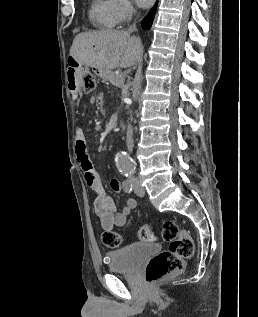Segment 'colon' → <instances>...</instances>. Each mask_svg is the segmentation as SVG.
I'll use <instances>...</instances> for the list:
<instances>
[{
  "label": "colon",
  "instance_id": "5ec220e1",
  "mask_svg": "<svg viewBox=\"0 0 258 317\" xmlns=\"http://www.w3.org/2000/svg\"><path fill=\"white\" fill-rule=\"evenodd\" d=\"M82 90L89 93L95 89L96 80L94 75L85 69L81 70ZM139 238L144 241L156 239V228L151 224L139 227ZM161 236L169 243L168 250L153 256L145 266V278L150 284L156 283L164 277L180 272L184 269L186 260L194 253V241L191 235L179 228L173 221H166L162 225ZM102 243L111 249L118 248L123 242L122 236L115 231H105L102 234Z\"/></svg>",
  "mask_w": 258,
  "mask_h": 317
}]
</instances>
